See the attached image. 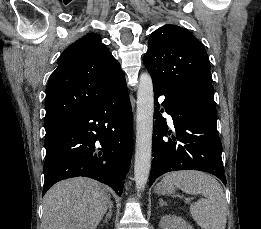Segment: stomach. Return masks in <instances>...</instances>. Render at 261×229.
Segmentation results:
<instances>
[{
    "label": "stomach",
    "instance_id": "0dacf381",
    "mask_svg": "<svg viewBox=\"0 0 261 229\" xmlns=\"http://www.w3.org/2000/svg\"><path fill=\"white\" fill-rule=\"evenodd\" d=\"M174 191V185H172V183H164V181H161V183L155 187V193H158V195H173Z\"/></svg>",
    "mask_w": 261,
    "mask_h": 229
}]
</instances>
